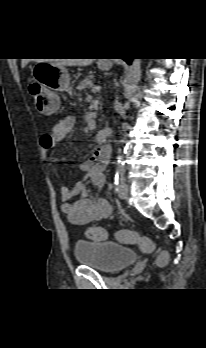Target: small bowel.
I'll use <instances>...</instances> for the list:
<instances>
[{
  "label": "small bowel",
  "mask_w": 206,
  "mask_h": 348,
  "mask_svg": "<svg viewBox=\"0 0 206 348\" xmlns=\"http://www.w3.org/2000/svg\"><path fill=\"white\" fill-rule=\"evenodd\" d=\"M74 126L75 118L68 116L55 123L49 132L41 137L40 145L45 158L65 139ZM109 152L108 147L105 146L95 149L91 160L80 165L84 181L78 182L71 188L62 187L60 189L61 209L71 223L84 225L110 216V203L103 198H90L89 189L85 183L88 180L99 188L104 185ZM73 198H76L75 201L70 203L69 201Z\"/></svg>",
  "instance_id": "small-bowel-1"
}]
</instances>
